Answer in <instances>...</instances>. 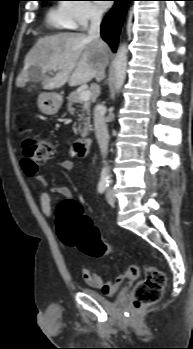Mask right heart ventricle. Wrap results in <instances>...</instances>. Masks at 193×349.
Instances as JSON below:
<instances>
[{
	"mask_svg": "<svg viewBox=\"0 0 193 349\" xmlns=\"http://www.w3.org/2000/svg\"><path fill=\"white\" fill-rule=\"evenodd\" d=\"M47 22L52 28L57 30L73 28L72 21L65 9V3H60L50 8L47 14Z\"/></svg>",
	"mask_w": 193,
	"mask_h": 349,
	"instance_id": "e07e8e85",
	"label": "right heart ventricle"
}]
</instances>
